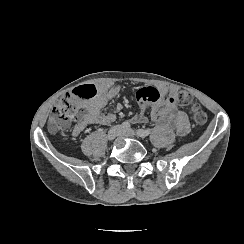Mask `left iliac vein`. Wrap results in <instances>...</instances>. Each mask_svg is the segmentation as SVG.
<instances>
[{
  "label": "left iliac vein",
  "mask_w": 244,
  "mask_h": 244,
  "mask_svg": "<svg viewBox=\"0 0 244 244\" xmlns=\"http://www.w3.org/2000/svg\"><path fill=\"white\" fill-rule=\"evenodd\" d=\"M120 135L124 137H134L136 135V131L134 129H122Z\"/></svg>",
  "instance_id": "left-iliac-vein-1"
}]
</instances>
